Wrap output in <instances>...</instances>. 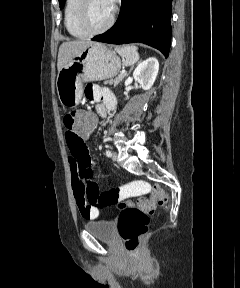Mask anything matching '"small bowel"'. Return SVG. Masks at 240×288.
<instances>
[{"label": "small bowel", "instance_id": "obj_1", "mask_svg": "<svg viewBox=\"0 0 240 288\" xmlns=\"http://www.w3.org/2000/svg\"><path fill=\"white\" fill-rule=\"evenodd\" d=\"M87 100L97 106V111L101 117H107L116 106L114 94L107 88L96 85H87L84 89ZM89 133L81 137H76L66 133L67 145L70 149L69 166L71 172V184L76 204L83 218L93 220L99 216V207L88 203L87 196L90 191L98 192V187L92 181L93 168L97 163L91 158L85 139ZM135 183L124 185L119 189L122 198H127L133 194L131 191Z\"/></svg>", "mask_w": 240, "mask_h": 288}]
</instances>
